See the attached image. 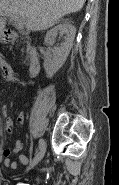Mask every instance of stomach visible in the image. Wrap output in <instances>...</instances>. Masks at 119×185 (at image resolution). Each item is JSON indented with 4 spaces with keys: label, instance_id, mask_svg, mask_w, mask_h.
Masks as SVG:
<instances>
[{
    "label": "stomach",
    "instance_id": "stomach-1",
    "mask_svg": "<svg viewBox=\"0 0 119 185\" xmlns=\"http://www.w3.org/2000/svg\"><path fill=\"white\" fill-rule=\"evenodd\" d=\"M6 39V34L4 33L3 30H0V41H5Z\"/></svg>",
    "mask_w": 119,
    "mask_h": 185
}]
</instances>
